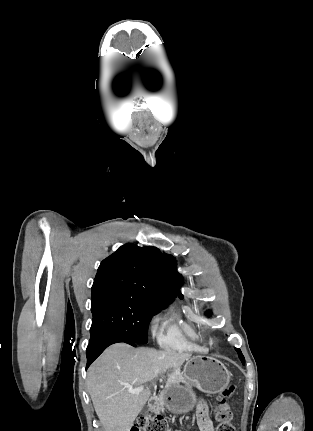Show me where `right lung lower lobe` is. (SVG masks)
Wrapping results in <instances>:
<instances>
[{
    "mask_svg": "<svg viewBox=\"0 0 313 431\" xmlns=\"http://www.w3.org/2000/svg\"><path fill=\"white\" fill-rule=\"evenodd\" d=\"M118 342H124L132 346H137L138 343L129 340L126 337L114 334H102L95 339H91L86 350L87 366L89 365L110 345Z\"/></svg>",
    "mask_w": 313,
    "mask_h": 431,
    "instance_id": "right-lung-lower-lobe-1",
    "label": "right lung lower lobe"
}]
</instances>
